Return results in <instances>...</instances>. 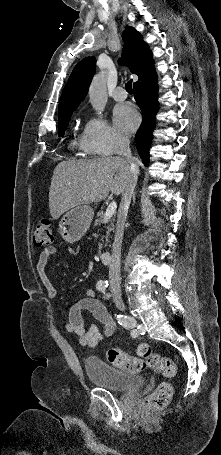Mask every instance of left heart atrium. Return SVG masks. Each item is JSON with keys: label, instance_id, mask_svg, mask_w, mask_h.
I'll list each match as a JSON object with an SVG mask.
<instances>
[{"label": "left heart atrium", "instance_id": "1", "mask_svg": "<svg viewBox=\"0 0 221 455\" xmlns=\"http://www.w3.org/2000/svg\"><path fill=\"white\" fill-rule=\"evenodd\" d=\"M113 121L122 132L131 133L137 128L140 116L131 104H120L113 110Z\"/></svg>", "mask_w": 221, "mask_h": 455}]
</instances>
